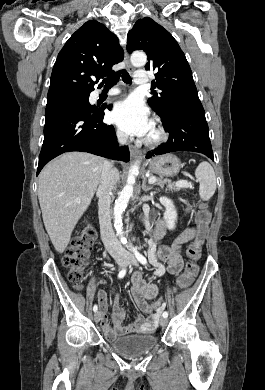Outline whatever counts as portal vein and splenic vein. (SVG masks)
<instances>
[{"instance_id": "portal-vein-and-splenic-vein-1", "label": "portal vein and splenic vein", "mask_w": 265, "mask_h": 390, "mask_svg": "<svg viewBox=\"0 0 265 390\" xmlns=\"http://www.w3.org/2000/svg\"><path fill=\"white\" fill-rule=\"evenodd\" d=\"M148 182H149V184H153V183L156 182V178L155 177H150L148 179ZM177 184L182 185L184 187H189V183L186 180H180V181L177 182Z\"/></svg>"}]
</instances>
